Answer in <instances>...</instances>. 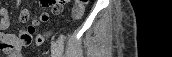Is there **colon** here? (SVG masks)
<instances>
[{"label":"colon","instance_id":"obj_1","mask_svg":"<svg viewBox=\"0 0 172 57\" xmlns=\"http://www.w3.org/2000/svg\"><path fill=\"white\" fill-rule=\"evenodd\" d=\"M62 1V0H58ZM88 3V0H77L73 6L71 12V18L74 20H78L82 17L85 9V5Z\"/></svg>","mask_w":172,"mask_h":57}]
</instances>
